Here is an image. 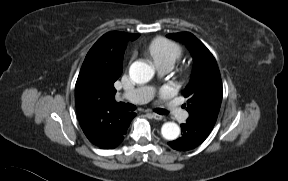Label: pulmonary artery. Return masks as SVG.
Wrapping results in <instances>:
<instances>
[{
	"mask_svg": "<svg viewBox=\"0 0 288 181\" xmlns=\"http://www.w3.org/2000/svg\"><path fill=\"white\" fill-rule=\"evenodd\" d=\"M156 69L159 74L168 73L172 69V65L169 63L156 64ZM155 95V88L153 86H143L132 89L124 93V97L132 103H145L151 100ZM164 109L177 120H183L187 118V113L183 111L175 102H167L164 104Z\"/></svg>",
	"mask_w": 288,
	"mask_h": 181,
	"instance_id": "obj_1",
	"label": "pulmonary artery"
}]
</instances>
